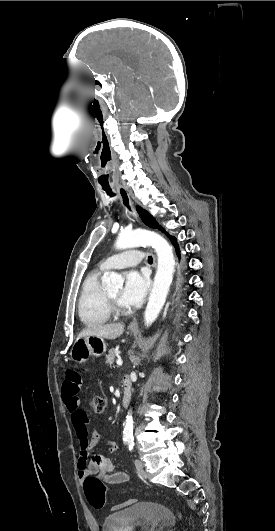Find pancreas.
Returning a JSON list of instances; mask_svg holds the SVG:
<instances>
[{"mask_svg": "<svg viewBox=\"0 0 275 531\" xmlns=\"http://www.w3.org/2000/svg\"><path fill=\"white\" fill-rule=\"evenodd\" d=\"M106 365H113L116 359V349H109L108 355H105Z\"/></svg>", "mask_w": 275, "mask_h": 531, "instance_id": "obj_1", "label": "pancreas"}]
</instances>
